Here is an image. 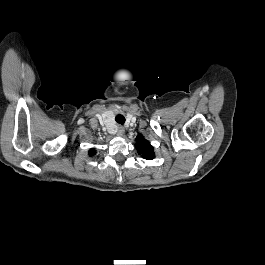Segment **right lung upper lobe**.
Wrapping results in <instances>:
<instances>
[{
	"label": "right lung upper lobe",
	"instance_id": "obj_1",
	"mask_svg": "<svg viewBox=\"0 0 265 265\" xmlns=\"http://www.w3.org/2000/svg\"><path fill=\"white\" fill-rule=\"evenodd\" d=\"M94 154H95V149H94V148L90 149V151H89V155H90V156H93Z\"/></svg>",
	"mask_w": 265,
	"mask_h": 265
}]
</instances>
